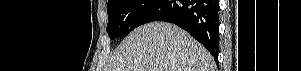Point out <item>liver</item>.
<instances>
[{"instance_id": "1", "label": "liver", "mask_w": 301, "mask_h": 71, "mask_svg": "<svg viewBox=\"0 0 301 71\" xmlns=\"http://www.w3.org/2000/svg\"><path fill=\"white\" fill-rule=\"evenodd\" d=\"M211 54L178 26L153 22L133 30L104 71H214Z\"/></svg>"}]
</instances>
